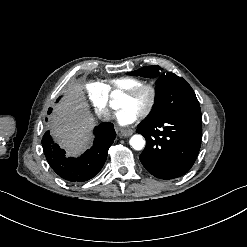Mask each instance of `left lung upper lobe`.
<instances>
[{
  "label": "left lung upper lobe",
  "mask_w": 247,
  "mask_h": 247,
  "mask_svg": "<svg viewBox=\"0 0 247 247\" xmlns=\"http://www.w3.org/2000/svg\"><path fill=\"white\" fill-rule=\"evenodd\" d=\"M159 66H146L129 75L158 77L155 104L142 123H154L175 114H187L201 118V109L191 86L182 77L168 72L160 75Z\"/></svg>",
  "instance_id": "5c2ea615"
}]
</instances>
